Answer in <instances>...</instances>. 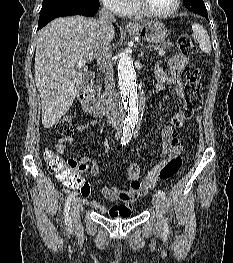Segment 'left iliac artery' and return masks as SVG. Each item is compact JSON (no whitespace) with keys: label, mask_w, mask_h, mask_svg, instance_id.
<instances>
[{"label":"left iliac artery","mask_w":233,"mask_h":263,"mask_svg":"<svg viewBox=\"0 0 233 263\" xmlns=\"http://www.w3.org/2000/svg\"><path fill=\"white\" fill-rule=\"evenodd\" d=\"M157 194H158L163 200H165V193H164L162 190L159 189V190L157 191ZM164 228H165V229H168V224H167L166 220H165Z\"/></svg>","instance_id":"44dca946"}]
</instances>
